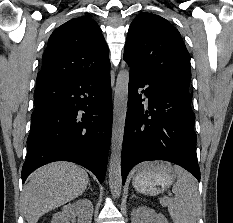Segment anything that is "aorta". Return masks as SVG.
Segmentation results:
<instances>
[{
	"instance_id": "1",
	"label": "aorta",
	"mask_w": 233,
	"mask_h": 223,
	"mask_svg": "<svg viewBox=\"0 0 233 223\" xmlns=\"http://www.w3.org/2000/svg\"><path fill=\"white\" fill-rule=\"evenodd\" d=\"M128 84V70L119 72L114 94L111 155L109 163V187L114 197H118L122 189L121 151L127 112Z\"/></svg>"
}]
</instances>
